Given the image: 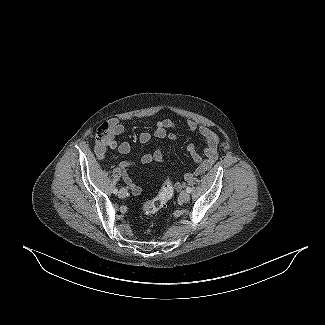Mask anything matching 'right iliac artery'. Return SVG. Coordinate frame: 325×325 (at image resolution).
I'll use <instances>...</instances> for the list:
<instances>
[{
  "instance_id": "82829eb1",
  "label": "right iliac artery",
  "mask_w": 325,
  "mask_h": 325,
  "mask_svg": "<svg viewBox=\"0 0 325 325\" xmlns=\"http://www.w3.org/2000/svg\"><path fill=\"white\" fill-rule=\"evenodd\" d=\"M113 193H114V194H117V193H118V189L114 188V189H113Z\"/></svg>"
}]
</instances>
